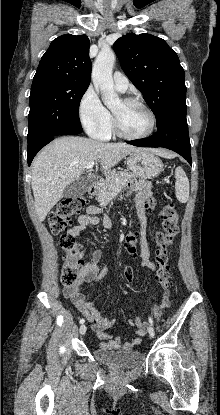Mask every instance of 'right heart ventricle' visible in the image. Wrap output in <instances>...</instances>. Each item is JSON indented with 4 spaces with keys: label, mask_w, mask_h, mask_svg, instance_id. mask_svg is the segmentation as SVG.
Instances as JSON below:
<instances>
[{
    "label": "right heart ventricle",
    "mask_w": 220,
    "mask_h": 415,
    "mask_svg": "<svg viewBox=\"0 0 220 415\" xmlns=\"http://www.w3.org/2000/svg\"><path fill=\"white\" fill-rule=\"evenodd\" d=\"M111 133H112V125L110 126L107 135L105 137H103L102 139L103 140L107 139L111 135Z\"/></svg>",
    "instance_id": "obj_1"
}]
</instances>
